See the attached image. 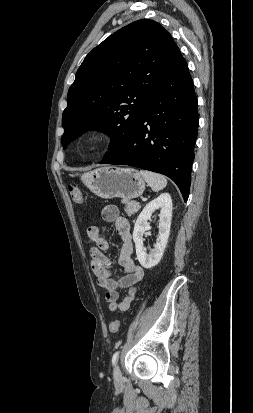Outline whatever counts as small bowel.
<instances>
[{
	"instance_id": "obj_1",
	"label": "small bowel",
	"mask_w": 253,
	"mask_h": 413,
	"mask_svg": "<svg viewBox=\"0 0 253 413\" xmlns=\"http://www.w3.org/2000/svg\"><path fill=\"white\" fill-rule=\"evenodd\" d=\"M102 218L105 222L114 224L121 239L118 263L124 269L125 275L119 279L114 278L113 264L106 255L109 243L104 234L105 229L96 226L87 229V237L94 244L90 249V265L97 284L106 290L108 310L123 312L129 309L136 298L137 285L143 280L144 270L132 258L133 244L128 220L120 215L115 205L105 206L102 209ZM119 289H126V294L121 301H119Z\"/></svg>"
}]
</instances>
